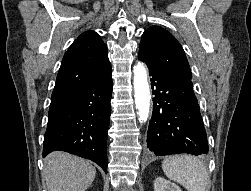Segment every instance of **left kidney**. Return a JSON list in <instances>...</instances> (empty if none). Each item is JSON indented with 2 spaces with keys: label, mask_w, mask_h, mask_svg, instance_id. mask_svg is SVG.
<instances>
[{
  "label": "left kidney",
  "mask_w": 251,
  "mask_h": 191,
  "mask_svg": "<svg viewBox=\"0 0 251 191\" xmlns=\"http://www.w3.org/2000/svg\"><path fill=\"white\" fill-rule=\"evenodd\" d=\"M154 191H182V189H180L179 185L164 179V177H156L154 179Z\"/></svg>",
  "instance_id": "obj_1"
}]
</instances>
